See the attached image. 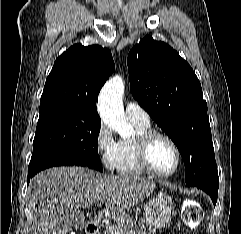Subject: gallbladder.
Wrapping results in <instances>:
<instances>
[{"instance_id":"obj_1","label":"gallbladder","mask_w":241,"mask_h":234,"mask_svg":"<svg viewBox=\"0 0 241 234\" xmlns=\"http://www.w3.org/2000/svg\"><path fill=\"white\" fill-rule=\"evenodd\" d=\"M76 224L78 228H82L84 225V216L82 213H79L78 216L76 217Z\"/></svg>"}]
</instances>
